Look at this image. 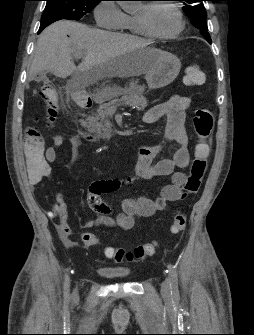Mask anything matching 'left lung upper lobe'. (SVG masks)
Segmentation results:
<instances>
[{"label": "left lung upper lobe", "mask_w": 254, "mask_h": 335, "mask_svg": "<svg viewBox=\"0 0 254 335\" xmlns=\"http://www.w3.org/2000/svg\"><path fill=\"white\" fill-rule=\"evenodd\" d=\"M185 1L186 6L183 7L185 14L191 19V23L200 30L207 41H211L208 33L206 18L207 13L202 0H180ZM194 4V5H193Z\"/></svg>", "instance_id": "left-lung-upper-lobe-1"}]
</instances>
